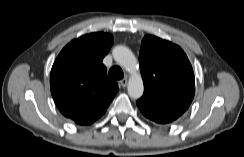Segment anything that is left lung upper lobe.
Segmentation results:
<instances>
[{"label":"left lung upper lobe","mask_w":244,"mask_h":157,"mask_svg":"<svg viewBox=\"0 0 244 157\" xmlns=\"http://www.w3.org/2000/svg\"><path fill=\"white\" fill-rule=\"evenodd\" d=\"M139 62L144 82L139 110L156 123L173 122L188 109L195 94L194 72L186 54L169 41L146 35Z\"/></svg>","instance_id":"1"}]
</instances>
